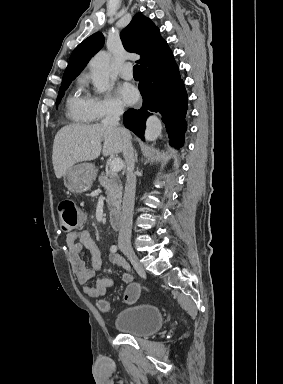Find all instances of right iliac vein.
Instances as JSON below:
<instances>
[{
	"instance_id": "63e3f726",
	"label": "right iliac vein",
	"mask_w": 283,
	"mask_h": 384,
	"mask_svg": "<svg viewBox=\"0 0 283 384\" xmlns=\"http://www.w3.org/2000/svg\"><path fill=\"white\" fill-rule=\"evenodd\" d=\"M121 250L124 253V255L130 260V262L132 263L134 268L137 270L139 275L142 277H145V275H146L145 270H144L142 264L140 263L137 255L133 251V249L131 247H128V246H123L121 248Z\"/></svg>"
}]
</instances>
